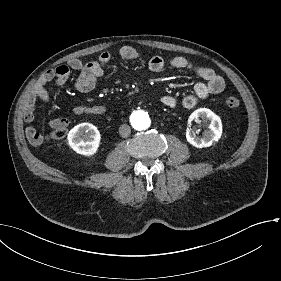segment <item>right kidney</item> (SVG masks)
I'll list each match as a JSON object with an SVG mask.
<instances>
[{
	"label": "right kidney",
	"mask_w": 281,
	"mask_h": 281,
	"mask_svg": "<svg viewBox=\"0 0 281 281\" xmlns=\"http://www.w3.org/2000/svg\"><path fill=\"white\" fill-rule=\"evenodd\" d=\"M100 139V131L91 123H80L71 129V149L83 156L96 154Z\"/></svg>",
	"instance_id": "right-kidney-1"
}]
</instances>
